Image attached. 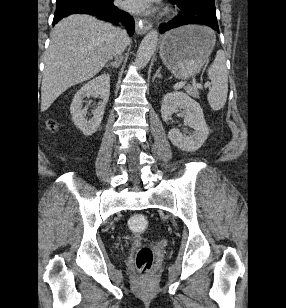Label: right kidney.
<instances>
[{
	"label": "right kidney",
	"mask_w": 286,
	"mask_h": 308,
	"mask_svg": "<svg viewBox=\"0 0 286 308\" xmlns=\"http://www.w3.org/2000/svg\"><path fill=\"white\" fill-rule=\"evenodd\" d=\"M93 93H98L103 102L93 113V117L88 119L85 117V109H82V103L84 98H89ZM110 95V75L102 74L93 80L83 85L77 93L74 95L72 103L70 105V113L72 120L77 128L86 136L93 135L99 128L103 119L105 106L108 102Z\"/></svg>",
	"instance_id": "obj_1"
}]
</instances>
